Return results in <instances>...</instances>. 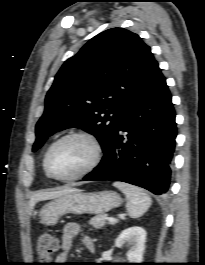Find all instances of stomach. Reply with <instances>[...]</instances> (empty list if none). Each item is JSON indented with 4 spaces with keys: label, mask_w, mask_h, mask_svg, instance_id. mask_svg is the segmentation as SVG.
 <instances>
[{
    "label": "stomach",
    "mask_w": 205,
    "mask_h": 265,
    "mask_svg": "<svg viewBox=\"0 0 205 265\" xmlns=\"http://www.w3.org/2000/svg\"><path fill=\"white\" fill-rule=\"evenodd\" d=\"M121 204L120 196L113 191L84 193L71 192L46 203L39 212L40 222L46 226L57 224L60 218L72 214H103Z\"/></svg>",
    "instance_id": "0dacf381"
}]
</instances>
